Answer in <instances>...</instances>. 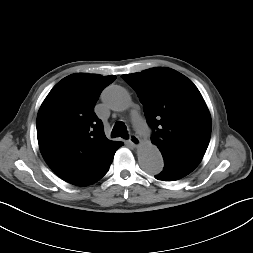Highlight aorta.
<instances>
[{"mask_svg":"<svg viewBox=\"0 0 253 253\" xmlns=\"http://www.w3.org/2000/svg\"><path fill=\"white\" fill-rule=\"evenodd\" d=\"M102 101L111 110L123 111L130 107L131 97L128 91L118 85L108 86L102 93ZM140 167L149 174H158L164 163L159 149L151 144L144 143L137 150Z\"/></svg>","mask_w":253,"mask_h":253,"instance_id":"aorta-1","label":"aorta"}]
</instances>
